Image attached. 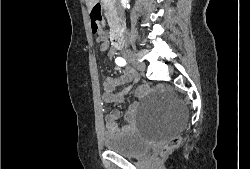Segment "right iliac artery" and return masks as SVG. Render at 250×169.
<instances>
[{
    "mask_svg": "<svg viewBox=\"0 0 250 169\" xmlns=\"http://www.w3.org/2000/svg\"><path fill=\"white\" fill-rule=\"evenodd\" d=\"M115 62H116V64H117L118 66H124V65H126L125 59H123V58H121V57H117V58L115 59Z\"/></svg>",
    "mask_w": 250,
    "mask_h": 169,
    "instance_id": "right-iliac-artery-1",
    "label": "right iliac artery"
}]
</instances>
